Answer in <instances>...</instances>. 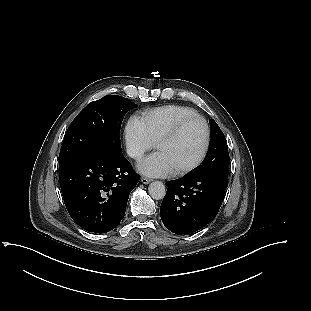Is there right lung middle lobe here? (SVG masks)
<instances>
[{
	"mask_svg": "<svg viewBox=\"0 0 311 311\" xmlns=\"http://www.w3.org/2000/svg\"><path fill=\"white\" fill-rule=\"evenodd\" d=\"M137 107L129 99L108 95L89 103L70 124L59 154V168L80 157L121 154L120 127L129 110Z\"/></svg>",
	"mask_w": 311,
	"mask_h": 311,
	"instance_id": "1",
	"label": "right lung middle lobe"
}]
</instances>
